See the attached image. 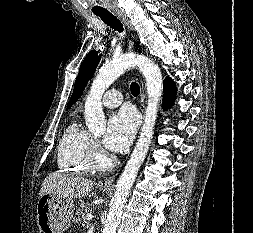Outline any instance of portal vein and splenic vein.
Here are the masks:
<instances>
[{
	"label": "portal vein and splenic vein",
	"mask_w": 253,
	"mask_h": 233,
	"mask_svg": "<svg viewBox=\"0 0 253 233\" xmlns=\"http://www.w3.org/2000/svg\"><path fill=\"white\" fill-rule=\"evenodd\" d=\"M86 218H87V221H88V222H91V221H92L93 216H92V214H91V213H89V214H87Z\"/></svg>",
	"instance_id": "1"
}]
</instances>
